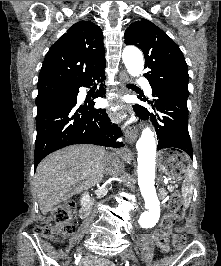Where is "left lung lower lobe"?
<instances>
[{"label": "left lung lower lobe", "instance_id": "obj_1", "mask_svg": "<svg viewBox=\"0 0 221 266\" xmlns=\"http://www.w3.org/2000/svg\"><path fill=\"white\" fill-rule=\"evenodd\" d=\"M151 87L155 99L148 103L159 112L157 119L140 105H134L133 109L142 119L150 116L159 138L157 150L178 148L193 159V149L188 132L187 97L159 87Z\"/></svg>", "mask_w": 221, "mask_h": 266}]
</instances>
